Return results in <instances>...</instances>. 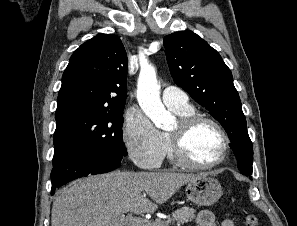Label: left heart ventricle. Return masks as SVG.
Here are the masks:
<instances>
[{
  "label": "left heart ventricle",
  "instance_id": "left-heart-ventricle-1",
  "mask_svg": "<svg viewBox=\"0 0 297 226\" xmlns=\"http://www.w3.org/2000/svg\"><path fill=\"white\" fill-rule=\"evenodd\" d=\"M177 130V123L170 132ZM224 139L219 130L210 123L195 126L187 136L188 153L196 162L208 164L216 160L222 151Z\"/></svg>",
  "mask_w": 297,
  "mask_h": 226
}]
</instances>
